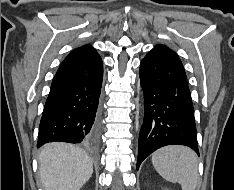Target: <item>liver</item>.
I'll return each instance as SVG.
<instances>
[{
  "label": "liver",
  "mask_w": 234,
  "mask_h": 190,
  "mask_svg": "<svg viewBox=\"0 0 234 190\" xmlns=\"http://www.w3.org/2000/svg\"><path fill=\"white\" fill-rule=\"evenodd\" d=\"M38 159L44 190H80L93 173L90 157L70 144L48 143Z\"/></svg>",
  "instance_id": "liver-1"
}]
</instances>
